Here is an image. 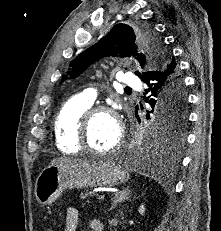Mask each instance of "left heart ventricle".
Here are the masks:
<instances>
[{
  "label": "left heart ventricle",
  "mask_w": 221,
  "mask_h": 231,
  "mask_svg": "<svg viewBox=\"0 0 221 231\" xmlns=\"http://www.w3.org/2000/svg\"><path fill=\"white\" fill-rule=\"evenodd\" d=\"M117 138L118 127L111 115L100 113L93 118L89 127V144L93 149H108Z\"/></svg>",
  "instance_id": "1"
}]
</instances>
